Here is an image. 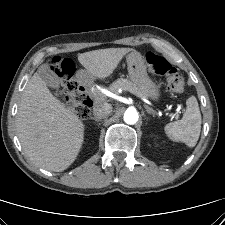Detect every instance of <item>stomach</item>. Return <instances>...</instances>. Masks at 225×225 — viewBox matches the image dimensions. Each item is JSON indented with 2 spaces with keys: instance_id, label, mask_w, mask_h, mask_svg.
<instances>
[{
  "instance_id": "obj_1",
  "label": "stomach",
  "mask_w": 225,
  "mask_h": 225,
  "mask_svg": "<svg viewBox=\"0 0 225 225\" xmlns=\"http://www.w3.org/2000/svg\"><path fill=\"white\" fill-rule=\"evenodd\" d=\"M126 61L129 77L133 84L145 97L158 102L161 98L160 88L156 82L149 77L143 56L134 50L127 55Z\"/></svg>"
}]
</instances>
